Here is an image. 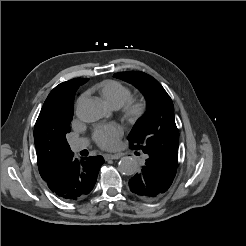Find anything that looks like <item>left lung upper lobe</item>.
<instances>
[{"mask_svg":"<svg viewBox=\"0 0 246 246\" xmlns=\"http://www.w3.org/2000/svg\"><path fill=\"white\" fill-rule=\"evenodd\" d=\"M114 77L133 84L145 96L147 111L128 136L130 148L155 152L178 163L179 132L171 98L161 84L140 71L119 72Z\"/></svg>","mask_w":246,"mask_h":246,"instance_id":"obj_1","label":"left lung upper lobe"}]
</instances>
